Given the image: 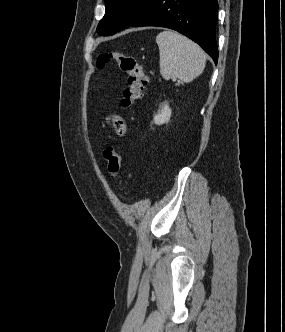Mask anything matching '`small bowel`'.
Wrapping results in <instances>:
<instances>
[{
	"instance_id": "1",
	"label": "small bowel",
	"mask_w": 285,
	"mask_h": 332,
	"mask_svg": "<svg viewBox=\"0 0 285 332\" xmlns=\"http://www.w3.org/2000/svg\"><path fill=\"white\" fill-rule=\"evenodd\" d=\"M111 123L114 126L118 135L124 136L126 134L127 126L121 117L113 115L111 117Z\"/></svg>"
}]
</instances>
